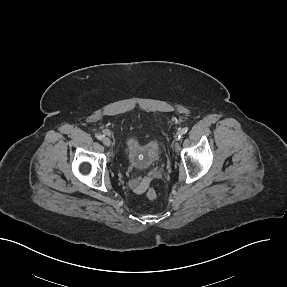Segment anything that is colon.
<instances>
[{
    "label": "colon",
    "mask_w": 287,
    "mask_h": 287,
    "mask_svg": "<svg viewBox=\"0 0 287 287\" xmlns=\"http://www.w3.org/2000/svg\"><path fill=\"white\" fill-rule=\"evenodd\" d=\"M146 197L149 199V200H155L157 198V192L154 188H148L146 190Z\"/></svg>",
    "instance_id": "5ec220e1"
}]
</instances>
